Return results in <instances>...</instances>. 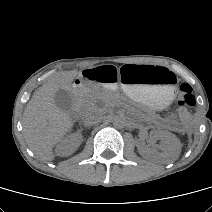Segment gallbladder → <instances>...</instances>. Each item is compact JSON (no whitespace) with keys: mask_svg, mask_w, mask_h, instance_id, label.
<instances>
[{"mask_svg":"<svg viewBox=\"0 0 212 212\" xmlns=\"http://www.w3.org/2000/svg\"><path fill=\"white\" fill-rule=\"evenodd\" d=\"M54 102L59 109L70 112L73 105V94L70 90L59 89L54 94Z\"/></svg>","mask_w":212,"mask_h":212,"instance_id":"1","label":"gallbladder"}]
</instances>
